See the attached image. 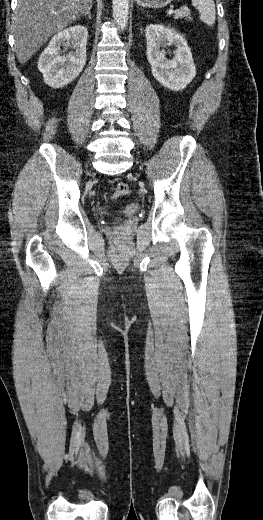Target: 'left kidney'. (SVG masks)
<instances>
[{
  "mask_svg": "<svg viewBox=\"0 0 263 520\" xmlns=\"http://www.w3.org/2000/svg\"><path fill=\"white\" fill-rule=\"evenodd\" d=\"M147 59L152 74L164 87L179 91L184 89L196 75L192 53L185 39L174 29L163 25L150 24L146 27ZM175 45V57H165V46Z\"/></svg>",
  "mask_w": 263,
  "mask_h": 520,
  "instance_id": "1",
  "label": "left kidney"
}]
</instances>
